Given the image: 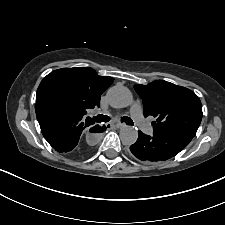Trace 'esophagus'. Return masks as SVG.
<instances>
[{"mask_svg":"<svg viewBox=\"0 0 225 225\" xmlns=\"http://www.w3.org/2000/svg\"><path fill=\"white\" fill-rule=\"evenodd\" d=\"M111 126L114 127V128H121L124 125L123 124H120V123H116V124H111Z\"/></svg>","mask_w":225,"mask_h":225,"instance_id":"obj_1","label":"esophagus"}]
</instances>
